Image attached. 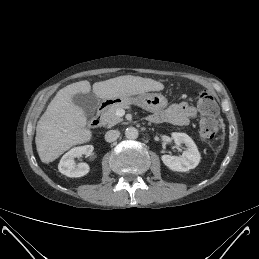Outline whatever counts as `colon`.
Returning a JSON list of instances; mask_svg holds the SVG:
<instances>
[{"label":"colon","mask_w":259,"mask_h":259,"mask_svg":"<svg viewBox=\"0 0 259 259\" xmlns=\"http://www.w3.org/2000/svg\"><path fill=\"white\" fill-rule=\"evenodd\" d=\"M202 116L199 121L200 134L205 139H212L219 131L217 119L218 107L214 98L207 92H202L199 98Z\"/></svg>","instance_id":"1"}]
</instances>
